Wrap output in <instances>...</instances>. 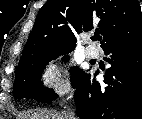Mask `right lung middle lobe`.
I'll return each instance as SVG.
<instances>
[{
    "label": "right lung middle lobe",
    "instance_id": "obj_1",
    "mask_svg": "<svg viewBox=\"0 0 142 119\" xmlns=\"http://www.w3.org/2000/svg\"><path fill=\"white\" fill-rule=\"evenodd\" d=\"M71 51L72 50L47 54L21 68H18L13 89L14 97L17 99L35 98L43 103H49L52 100H55L58 95L55 94L53 90L45 89L40 83V78L49 61H52L60 55H65L63 59L68 60L69 56L66 54ZM71 73L72 87L75 88L80 78L84 75V72L78 67H73Z\"/></svg>",
    "mask_w": 142,
    "mask_h": 119
}]
</instances>
